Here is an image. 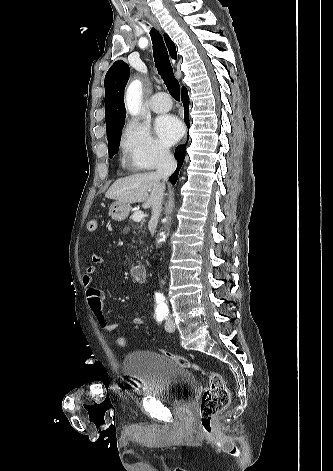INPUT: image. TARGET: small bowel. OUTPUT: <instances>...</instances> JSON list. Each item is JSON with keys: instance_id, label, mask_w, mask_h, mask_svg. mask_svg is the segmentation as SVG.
<instances>
[{"instance_id": "c3829d8e", "label": "small bowel", "mask_w": 333, "mask_h": 471, "mask_svg": "<svg viewBox=\"0 0 333 471\" xmlns=\"http://www.w3.org/2000/svg\"><path fill=\"white\" fill-rule=\"evenodd\" d=\"M102 263L103 258L98 254H93L85 268L84 274L82 276V283L85 289L88 307L91 313L94 315L100 329L104 332L112 333L113 337H115V331L118 328V323H110L105 317L103 311V293L99 288L93 285V278L96 268ZM132 323L137 326L142 325L143 319L139 316H135L132 319Z\"/></svg>"}]
</instances>
